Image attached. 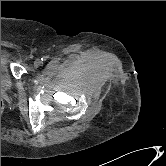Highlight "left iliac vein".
<instances>
[{"label":"left iliac vein","mask_w":166,"mask_h":166,"mask_svg":"<svg viewBox=\"0 0 166 166\" xmlns=\"http://www.w3.org/2000/svg\"><path fill=\"white\" fill-rule=\"evenodd\" d=\"M42 64V62H41V60L40 59H37V60H35V62H34V67H39L40 65Z\"/></svg>","instance_id":"obj_1"}]
</instances>
